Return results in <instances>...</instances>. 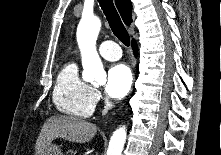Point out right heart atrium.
Instances as JSON below:
<instances>
[{
  "instance_id": "1",
  "label": "right heart atrium",
  "mask_w": 221,
  "mask_h": 155,
  "mask_svg": "<svg viewBox=\"0 0 221 155\" xmlns=\"http://www.w3.org/2000/svg\"><path fill=\"white\" fill-rule=\"evenodd\" d=\"M93 97L96 102L100 99V94L97 91L93 90Z\"/></svg>"
}]
</instances>
